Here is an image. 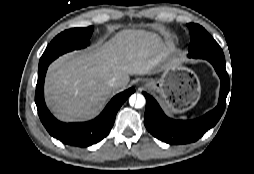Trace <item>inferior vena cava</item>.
<instances>
[{"label": "inferior vena cava", "mask_w": 254, "mask_h": 174, "mask_svg": "<svg viewBox=\"0 0 254 174\" xmlns=\"http://www.w3.org/2000/svg\"><path fill=\"white\" fill-rule=\"evenodd\" d=\"M108 84L112 87V88H115L117 86H119V81L113 77L111 78L109 81H108Z\"/></svg>", "instance_id": "inferior-vena-cava-1"}]
</instances>
